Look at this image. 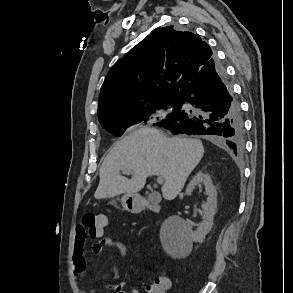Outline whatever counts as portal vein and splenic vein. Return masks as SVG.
Segmentation results:
<instances>
[{"instance_id":"obj_1","label":"portal vein and splenic vein","mask_w":293,"mask_h":293,"mask_svg":"<svg viewBox=\"0 0 293 293\" xmlns=\"http://www.w3.org/2000/svg\"><path fill=\"white\" fill-rule=\"evenodd\" d=\"M163 182H164L163 177L162 176H157V183L158 184H163Z\"/></svg>"}]
</instances>
